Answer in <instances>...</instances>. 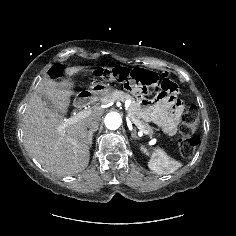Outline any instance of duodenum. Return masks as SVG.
Masks as SVG:
<instances>
[{
    "label": "duodenum",
    "mask_w": 236,
    "mask_h": 236,
    "mask_svg": "<svg viewBox=\"0 0 236 236\" xmlns=\"http://www.w3.org/2000/svg\"><path fill=\"white\" fill-rule=\"evenodd\" d=\"M89 101H90L89 95H81L75 100L74 105L76 108L82 109L88 104Z\"/></svg>",
    "instance_id": "duodenum-1"
}]
</instances>
